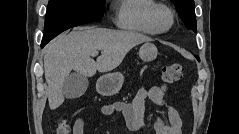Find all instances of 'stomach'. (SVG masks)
I'll list each match as a JSON object with an SVG mask.
<instances>
[{
  "mask_svg": "<svg viewBox=\"0 0 239 134\" xmlns=\"http://www.w3.org/2000/svg\"><path fill=\"white\" fill-rule=\"evenodd\" d=\"M158 54L157 47L151 42H145L139 49V56L144 62H150ZM124 82V76L120 72L108 73L101 76L97 83V91L104 96L114 95L119 92Z\"/></svg>",
  "mask_w": 239,
  "mask_h": 134,
  "instance_id": "0dacf381",
  "label": "stomach"
}]
</instances>
